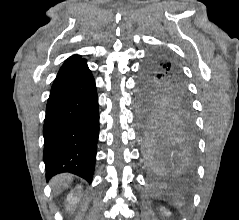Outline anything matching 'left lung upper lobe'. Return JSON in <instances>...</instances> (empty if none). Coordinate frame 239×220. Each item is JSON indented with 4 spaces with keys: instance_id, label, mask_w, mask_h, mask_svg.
Returning <instances> with one entry per match:
<instances>
[{
    "instance_id": "obj_1",
    "label": "left lung upper lobe",
    "mask_w": 239,
    "mask_h": 220,
    "mask_svg": "<svg viewBox=\"0 0 239 220\" xmlns=\"http://www.w3.org/2000/svg\"><path fill=\"white\" fill-rule=\"evenodd\" d=\"M144 127H153L167 112L191 113L179 61L164 50L154 52L143 67Z\"/></svg>"
}]
</instances>
